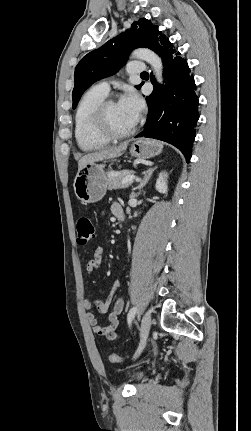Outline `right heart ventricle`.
I'll return each instance as SVG.
<instances>
[{
    "label": "right heart ventricle",
    "mask_w": 251,
    "mask_h": 431,
    "mask_svg": "<svg viewBox=\"0 0 251 431\" xmlns=\"http://www.w3.org/2000/svg\"><path fill=\"white\" fill-rule=\"evenodd\" d=\"M107 93L90 88L79 101L75 112V138L83 151H93L106 146L109 140L98 135L94 129L93 120L96 108L106 98Z\"/></svg>",
    "instance_id": "obj_1"
}]
</instances>
